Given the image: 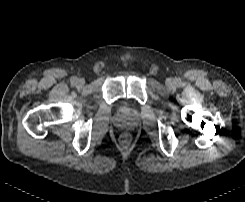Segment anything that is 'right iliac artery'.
I'll return each mask as SVG.
<instances>
[{"label": "right iliac artery", "instance_id": "1", "mask_svg": "<svg viewBox=\"0 0 245 202\" xmlns=\"http://www.w3.org/2000/svg\"><path fill=\"white\" fill-rule=\"evenodd\" d=\"M71 81H72V83H75V82L77 81V78L73 76V77L71 78Z\"/></svg>", "mask_w": 245, "mask_h": 202}]
</instances>
